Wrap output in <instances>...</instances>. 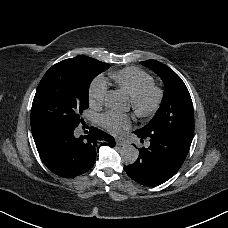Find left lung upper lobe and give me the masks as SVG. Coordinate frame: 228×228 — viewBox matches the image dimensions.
<instances>
[{
    "label": "left lung upper lobe",
    "mask_w": 228,
    "mask_h": 228,
    "mask_svg": "<svg viewBox=\"0 0 228 228\" xmlns=\"http://www.w3.org/2000/svg\"><path fill=\"white\" fill-rule=\"evenodd\" d=\"M157 73L166 88L165 99L152 120L140 133H166L193 139L194 110L189 91L182 79L168 66L155 61L141 62Z\"/></svg>",
    "instance_id": "5c2ea615"
}]
</instances>
